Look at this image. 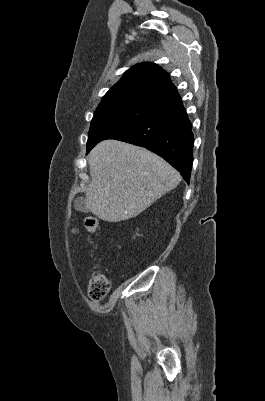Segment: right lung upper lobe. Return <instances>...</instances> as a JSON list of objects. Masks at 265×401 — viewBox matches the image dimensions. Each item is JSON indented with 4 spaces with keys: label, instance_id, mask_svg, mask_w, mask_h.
<instances>
[{
    "label": "right lung upper lobe",
    "instance_id": "right-lung-upper-lobe-1",
    "mask_svg": "<svg viewBox=\"0 0 265 401\" xmlns=\"http://www.w3.org/2000/svg\"><path fill=\"white\" fill-rule=\"evenodd\" d=\"M180 99L169 74L157 64L145 62L128 69L105 94L99 106L134 101L165 106Z\"/></svg>",
    "mask_w": 265,
    "mask_h": 401
}]
</instances>
